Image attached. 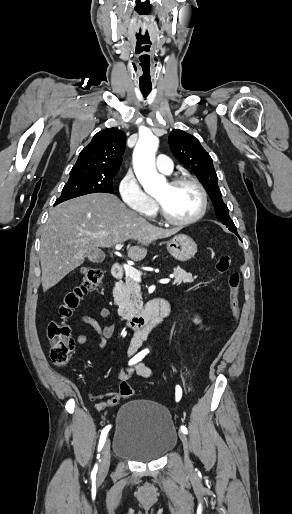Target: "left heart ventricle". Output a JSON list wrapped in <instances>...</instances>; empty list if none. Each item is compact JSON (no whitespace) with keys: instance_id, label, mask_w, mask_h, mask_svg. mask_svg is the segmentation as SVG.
<instances>
[{"instance_id":"obj_1","label":"left heart ventricle","mask_w":292,"mask_h":514,"mask_svg":"<svg viewBox=\"0 0 292 514\" xmlns=\"http://www.w3.org/2000/svg\"><path fill=\"white\" fill-rule=\"evenodd\" d=\"M166 213L178 220L188 219L193 216L199 208V195L191 185H180L169 187L163 186L155 195Z\"/></svg>"}]
</instances>
